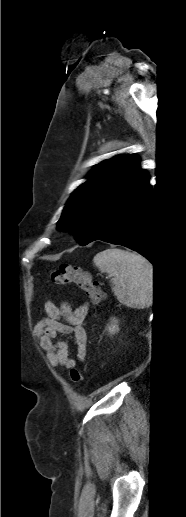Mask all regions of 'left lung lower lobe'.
I'll list each match as a JSON object with an SVG mask.
<instances>
[{"label": "left lung lower lobe", "mask_w": 186, "mask_h": 517, "mask_svg": "<svg viewBox=\"0 0 186 517\" xmlns=\"http://www.w3.org/2000/svg\"><path fill=\"white\" fill-rule=\"evenodd\" d=\"M145 173L104 215L90 242L102 240L128 247L157 267L152 249V189Z\"/></svg>", "instance_id": "obj_1"}]
</instances>
